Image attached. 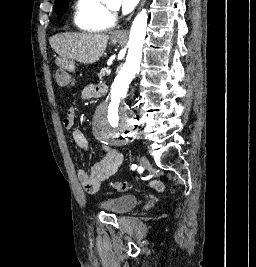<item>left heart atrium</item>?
<instances>
[{"mask_svg": "<svg viewBox=\"0 0 256 267\" xmlns=\"http://www.w3.org/2000/svg\"><path fill=\"white\" fill-rule=\"evenodd\" d=\"M135 1L136 0H119L122 12L124 14L129 13L132 10Z\"/></svg>", "mask_w": 256, "mask_h": 267, "instance_id": "left-heart-atrium-1", "label": "left heart atrium"}]
</instances>
